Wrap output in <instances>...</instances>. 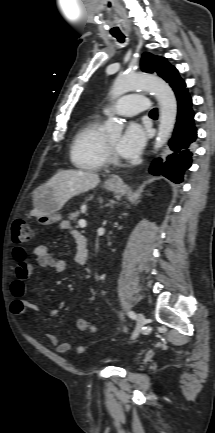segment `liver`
Returning <instances> with one entry per match:
<instances>
[{
  "mask_svg": "<svg viewBox=\"0 0 215 433\" xmlns=\"http://www.w3.org/2000/svg\"><path fill=\"white\" fill-rule=\"evenodd\" d=\"M99 182L100 178L95 173L69 169L58 171L43 186L54 190L57 202L62 207L70 198L95 188ZM31 214L39 215L36 209Z\"/></svg>",
  "mask_w": 215,
  "mask_h": 433,
  "instance_id": "6515ba94",
  "label": "liver"
}]
</instances>
